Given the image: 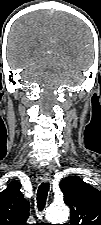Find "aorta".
<instances>
[{"mask_svg":"<svg viewBox=\"0 0 101 225\" xmlns=\"http://www.w3.org/2000/svg\"><path fill=\"white\" fill-rule=\"evenodd\" d=\"M69 217V209L65 205H52L46 212V219L52 224H61Z\"/></svg>","mask_w":101,"mask_h":225,"instance_id":"obj_1","label":"aorta"}]
</instances>
